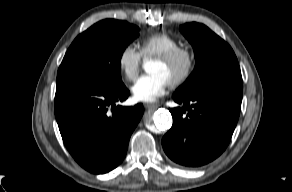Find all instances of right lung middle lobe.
Segmentation results:
<instances>
[{"mask_svg": "<svg viewBox=\"0 0 292 192\" xmlns=\"http://www.w3.org/2000/svg\"><path fill=\"white\" fill-rule=\"evenodd\" d=\"M139 28L126 21L102 20L77 36L59 67L57 80L74 78L109 89L124 86L121 56L138 35Z\"/></svg>", "mask_w": 292, "mask_h": 192, "instance_id": "right-lung-middle-lobe-1", "label": "right lung middle lobe"}]
</instances>
